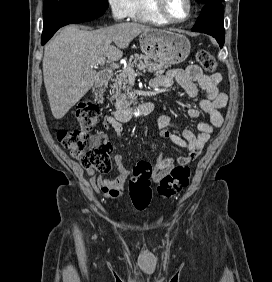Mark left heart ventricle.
<instances>
[{"label":"left heart ventricle","mask_w":272,"mask_h":282,"mask_svg":"<svg viewBox=\"0 0 272 282\" xmlns=\"http://www.w3.org/2000/svg\"><path fill=\"white\" fill-rule=\"evenodd\" d=\"M169 14L176 18L182 19L187 14V4L185 0H164Z\"/></svg>","instance_id":"b2bd125f"}]
</instances>
